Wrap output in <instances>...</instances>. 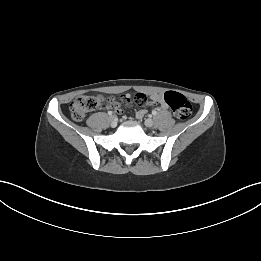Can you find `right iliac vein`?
Listing matches in <instances>:
<instances>
[{"label": "right iliac vein", "instance_id": "1", "mask_svg": "<svg viewBox=\"0 0 261 261\" xmlns=\"http://www.w3.org/2000/svg\"><path fill=\"white\" fill-rule=\"evenodd\" d=\"M109 120L111 122V125L115 127L117 125V118L115 116H110Z\"/></svg>", "mask_w": 261, "mask_h": 261}]
</instances>
